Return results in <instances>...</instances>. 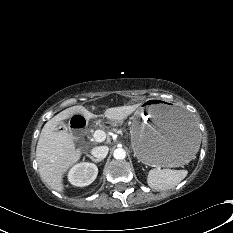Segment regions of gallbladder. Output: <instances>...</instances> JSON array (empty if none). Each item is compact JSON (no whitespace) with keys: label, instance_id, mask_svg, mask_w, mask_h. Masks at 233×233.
Masks as SVG:
<instances>
[{"label":"gallbladder","instance_id":"bac80fb5","mask_svg":"<svg viewBox=\"0 0 233 233\" xmlns=\"http://www.w3.org/2000/svg\"><path fill=\"white\" fill-rule=\"evenodd\" d=\"M57 128H64V123L63 122H59L58 125H57Z\"/></svg>","mask_w":233,"mask_h":233}]
</instances>
